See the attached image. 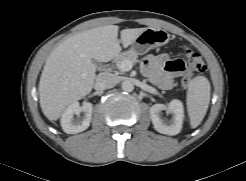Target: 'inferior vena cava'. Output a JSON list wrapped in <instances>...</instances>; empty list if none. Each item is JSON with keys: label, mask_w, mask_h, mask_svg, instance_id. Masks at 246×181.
<instances>
[{"label": "inferior vena cava", "mask_w": 246, "mask_h": 181, "mask_svg": "<svg viewBox=\"0 0 246 181\" xmlns=\"http://www.w3.org/2000/svg\"><path fill=\"white\" fill-rule=\"evenodd\" d=\"M116 85V78L110 73H101L97 76L94 89L102 91Z\"/></svg>", "instance_id": "602c4592"}]
</instances>
